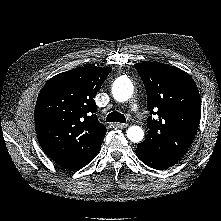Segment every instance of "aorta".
<instances>
[{
  "mask_svg": "<svg viewBox=\"0 0 221 221\" xmlns=\"http://www.w3.org/2000/svg\"><path fill=\"white\" fill-rule=\"evenodd\" d=\"M133 93V84L129 79H119L113 84L112 94L119 102L127 101ZM127 138L134 143H139L144 138V131L139 126H131L127 130Z\"/></svg>",
  "mask_w": 221,
  "mask_h": 221,
  "instance_id": "obj_1",
  "label": "aorta"
}]
</instances>
